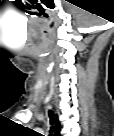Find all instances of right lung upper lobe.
<instances>
[{"label": "right lung upper lobe", "instance_id": "cb5924a9", "mask_svg": "<svg viewBox=\"0 0 114 136\" xmlns=\"http://www.w3.org/2000/svg\"><path fill=\"white\" fill-rule=\"evenodd\" d=\"M55 134H56L57 136H59V134H60V123L58 122V120H56Z\"/></svg>", "mask_w": 114, "mask_h": 136}]
</instances>
